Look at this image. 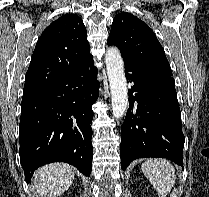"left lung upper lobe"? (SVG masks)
Listing matches in <instances>:
<instances>
[{"mask_svg":"<svg viewBox=\"0 0 209 197\" xmlns=\"http://www.w3.org/2000/svg\"><path fill=\"white\" fill-rule=\"evenodd\" d=\"M107 44L118 46L126 63L172 76L165 52L154 32L130 13L115 16Z\"/></svg>","mask_w":209,"mask_h":197,"instance_id":"5c2ea615","label":"left lung upper lobe"}]
</instances>
